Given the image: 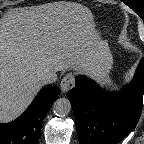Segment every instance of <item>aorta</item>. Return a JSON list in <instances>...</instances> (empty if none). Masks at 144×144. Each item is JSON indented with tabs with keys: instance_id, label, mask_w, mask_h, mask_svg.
Segmentation results:
<instances>
[{
	"instance_id": "aorta-1",
	"label": "aorta",
	"mask_w": 144,
	"mask_h": 144,
	"mask_svg": "<svg viewBox=\"0 0 144 144\" xmlns=\"http://www.w3.org/2000/svg\"><path fill=\"white\" fill-rule=\"evenodd\" d=\"M71 108V103L67 98H59L53 104L54 114L61 117L68 115Z\"/></svg>"
}]
</instances>
